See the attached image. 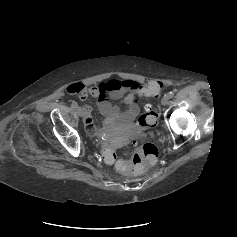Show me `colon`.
Here are the masks:
<instances>
[{
  "mask_svg": "<svg viewBox=\"0 0 237 237\" xmlns=\"http://www.w3.org/2000/svg\"><path fill=\"white\" fill-rule=\"evenodd\" d=\"M163 87V82L152 80L145 86L148 96L157 97ZM159 111L147 106L139 117V124L144 127H153L157 123ZM135 153L130 161L118 160L115 151L110 147L103 149V158L108 163H115L119 172L126 175H135L144 172L154 165L158 159V148L152 143L134 142Z\"/></svg>",
  "mask_w": 237,
  "mask_h": 237,
  "instance_id": "5ec220e1",
  "label": "colon"
}]
</instances>
